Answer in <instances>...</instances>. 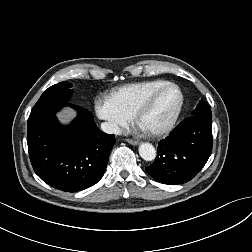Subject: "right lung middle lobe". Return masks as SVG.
Instances as JSON below:
<instances>
[{"label": "right lung middle lobe", "instance_id": "1", "mask_svg": "<svg viewBox=\"0 0 252 252\" xmlns=\"http://www.w3.org/2000/svg\"><path fill=\"white\" fill-rule=\"evenodd\" d=\"M71 87L72 84L66 81L49 87L33 107L30 116L37 115L49 107L66 104L72 95Z\"/></svg>", "mask_w": 252, "mask_h": 252}]
</instances>
